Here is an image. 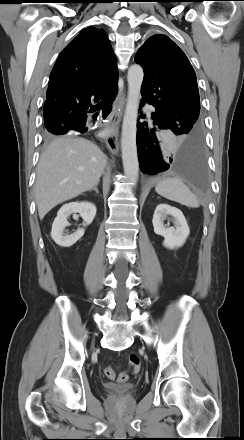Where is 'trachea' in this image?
<instances>
[{
    "mask_svg": "<svg viewBox=\"0 0 244 440\" xmlns=\"http://www.w3.org/2000/svg\"><path fill=\"white\" fill-rule=\"evenodd\" d=\"M98 109H102V113H109L111 110V105L108 102L102 101L95 106L90 108L91 112H95Z\"/></svg>",
    "mask_w": 244,
    "mask_h": 440,
    "instance_id": "trachea-1",
    "label": "trachea"
}]
</instances>
